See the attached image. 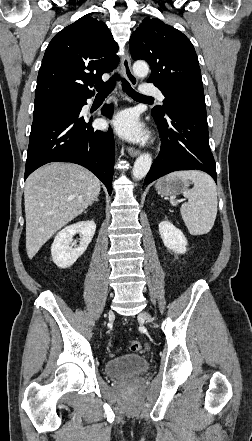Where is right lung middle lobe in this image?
Listing matches in <instances>:
<instances>
[{"instance_id":"dd1d6c3e","label":"right lung middle lobe","mask_w":252,"mask_h":441,"mask_svg":"<svg viewBox=\"0 0 252 441\" xmlns=\"http://www.w3.org/2000/svg\"><path fill=\"white\" fill-rule=\"evenodd\" d=\"M49 109H60V110H66L67 108L64 107L56 98L55 99H48L44 100L38 103H35L34 107V114L37 112H41L44 110Z\"/></svg>"}]
</instances>
